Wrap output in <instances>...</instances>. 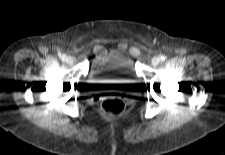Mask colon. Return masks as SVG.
I'll use <instances>...</instances> for the list:
<instances>
[{"label":"colon","instance_id":"colon-1","mask_svg":"<svg viewBox=\"0 0 225 155\" xmlns=\"http://www.w3.org/2000/svg\"><path fill=\"white\" fill-rule=\"evenodd\" d=\"M101 112L107 117H116L124 113L126 108L125 100L119 95H109L95 100Z\"/></svg>","mask_w":225,"mask_h":155}]
</instances>
